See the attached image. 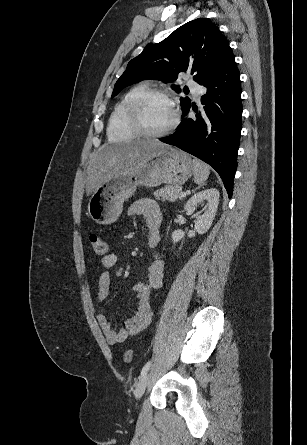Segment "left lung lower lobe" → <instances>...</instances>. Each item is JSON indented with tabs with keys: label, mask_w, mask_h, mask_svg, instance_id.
Returning a JSON list of instances; mask_svg holds the SVG:
<instances>
[{
	"label": "left lung lower lobe",
	"mask_w": 307,
	"mask_h": 445,
	"mask_svg": "<svg viewBox=\"0 0 307 445\" xmlns=\"http://www.w3.org/2000/svg\"><path fill=\"white\" fill-rule=\"evenodd\" d=\"M202 85L206 88L201 98L204 107L194 109L197 119L184 118L175 133L160 141L211 165L231 198L242 118L240 73L234 57Z\"/></svg>",
	"instance_id": "0a47b994"
}]
</instances>
